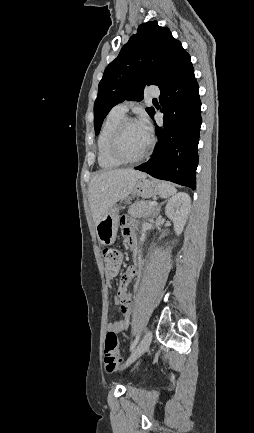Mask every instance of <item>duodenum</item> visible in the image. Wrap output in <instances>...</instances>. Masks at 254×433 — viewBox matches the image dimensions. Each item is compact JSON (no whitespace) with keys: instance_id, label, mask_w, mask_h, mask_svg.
I'll list each match as a JSON object with an SVG mask.
<instances>
[{"instance_id":"410a0bca","label":"duodenum","mask_w":254,"mask_h":433,"mask_svg":"<svg viewBox=\"0 0 254 433\" xmlns=\"http://www.w3.org/2000/svg\"><path fill=\"white\" fill-rule=\"evenodd\" d=\"M130 244L132 245V244H133V242H132V241H130Z\"/></svg>"}]
</instances>
